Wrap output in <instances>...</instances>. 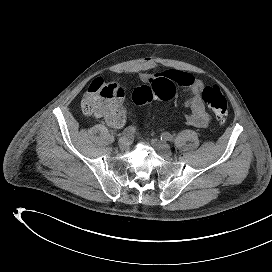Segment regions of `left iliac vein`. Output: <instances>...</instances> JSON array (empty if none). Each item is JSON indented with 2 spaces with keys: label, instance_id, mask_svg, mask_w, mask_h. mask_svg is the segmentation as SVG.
<instances>
[{
  "label": "left iliac vein",
  "instance_id": "4c4485c4",
  "mask_svg": "<svg viewBox=\"0 0 272 272\" xmlns=\"http://www.w3.org/2000/svg\"><path fill=\"white\" fill-rule=\"evenodd\" d=\"M152 146L154 147V149L162 156L165 157H170L172 155V151L170 149V146L164 142V141H160L158 139H153L151 141Z\"/></svg>",
  "mask_w": 272,
  "mask_h": 272
}]
</instances>
